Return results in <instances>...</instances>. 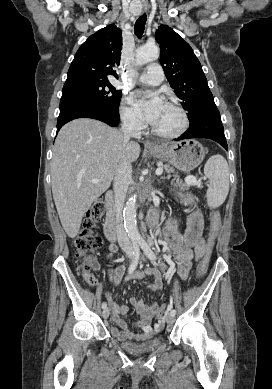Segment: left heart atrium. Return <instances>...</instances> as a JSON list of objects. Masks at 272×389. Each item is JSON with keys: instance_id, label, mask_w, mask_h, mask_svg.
Segmentation results:
<instances>
[{"instance_id": "1", "label": "left heart atrium", "mask_w": 272, "mask_h": 389, "mask_svg": "<svg viewBox=\"0 0 272 389\" xmlns=\"http://www.w3.org/2000/svg\"><path fill=\"white\" fill-rule=\"evenodd\" d=\"M135 97L136 104L143 110L146 120L153 124L164 105L162 99L156 93L145 92L136 93Z\"/></svg>"}]
</instances>
